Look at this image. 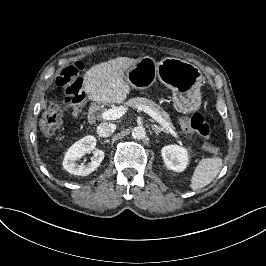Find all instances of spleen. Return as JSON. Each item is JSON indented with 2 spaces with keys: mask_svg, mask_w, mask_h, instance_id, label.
I'll return each mask as SVG.
<instances>
[{
  "mask_svg": "<svg viewBox=\"0 0 266 266\" xmlns=\"http://www.w3.org/2000/svg\"><path fill=\"white\" fill-rule=\"evenodd\" d=\"M221 167V158H203L195 168L190 187L193 190H197L207 186L218 175Z\"/></svg>",
  "mask_w": 266,
  "mask_h": 266,
  "instance_id": "3e777b00",
  "label": "spleen"
}]
</instances>
